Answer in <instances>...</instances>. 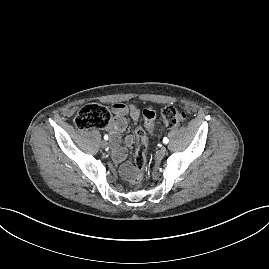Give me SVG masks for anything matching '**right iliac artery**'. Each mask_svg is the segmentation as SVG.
Here are the masks:
<instances>
[{
    "label": "right iliac artery",
    "instance_id": "82829eb1",
    "mask_svg": "<svg viewBox=\"0 0 269 269\" xmlns=\"http://www.w3.org/2000/svg\"><path fill=\"white\" fill-rule=\"evenodd\" d=\"M104 139L105 140H108V135H104Z\"/></svg>",
    "mask_w": 269,
    "mask_h": 269
}]
</instances>
